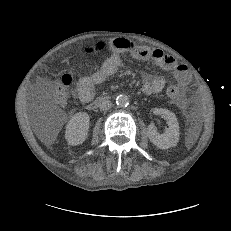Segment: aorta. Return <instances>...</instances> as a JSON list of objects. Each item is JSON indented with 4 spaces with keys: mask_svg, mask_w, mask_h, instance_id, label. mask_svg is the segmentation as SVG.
<instances>
[{
    "mask_svg": "<svg viewBox=\"0 0 231 231\" xmlns=\"http://www.w3.org/2000/svg\"><path fill=\"white\" fill-rule=\"evenodd\" d=\"M116 104L119 107H126V106H128V104H129V98H128V96H126L124 94H121V95L117 96V98H116Z\"/></svg>",
    "mask_w": 231,
    "mask_h": 231,
    "instance_id": "762f6f07",
    "label": "aorta"
}]
</instances>
